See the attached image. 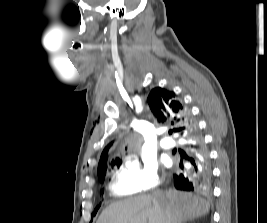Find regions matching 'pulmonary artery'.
Returning <instances> with one entry per match:
<instances>
[{
    "label": "pulmonary artery",
    "mask_w": 267,
    "mask_h": 223,
    "mask_svg": "<svg viewBox=\"0 0 267 223\" xmlns=\"http://www.w3.org/2000/svg\"><path fill=\"white\" fill-rule=\"evenodd\" d=\"M160 146L163 149H170V148H172L174 146V143L169 138H163V139L160 140Z\"/></svg>",
    "instance_id": "e3ab8cb5"
}]
</instances>
